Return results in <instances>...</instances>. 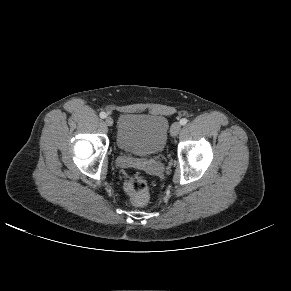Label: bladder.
<instances>
[{
    "label": "bladder",
    "instance_id": "31cf9c89",
    "mask_svg": "<svg viewBox=\"0 0 291 291\" xmlns=\"http://www.w3.org/2000/svg\"><path fill=\"white\" fill-rule=\"evenodd\" d=\"M169 121L163 115L125 113L118 121L116 144L140 157L160 154L167 143Z\"/></svg>",
    "mask_w": 291,
    "mask_h": 291
}]
</instances>
